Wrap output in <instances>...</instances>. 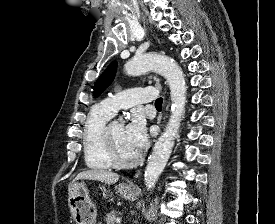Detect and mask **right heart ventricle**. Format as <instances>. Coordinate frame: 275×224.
<instances>
[{"mask_svg": "<svg viewBox=\"0 0 275 224\" xmlns=\"http://www.w3.org/2000/svg\"><path fill=\"white\" fill-rule=\"evenodd\" d=\"M112 115L100 105L91 109L83 127V154L86 165L95 170H108L109 162L103 144L102 133Z\"/></svg>", "mask_w": 275, "mask_h": 224, "instance_id": "right-heart-ventricle-1", "label": "right heart ventricle"}]
</instances>
